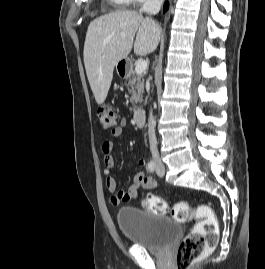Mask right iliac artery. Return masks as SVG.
<instances>
[{
  "mask_svg": "<svg viewBox=\"0 0 265 269\" xmlns=\"http://www.w3.org/2000/svg\"><path fill=\"white\" fill-rule=\"evenodd\" d=\"M147 169L150 171V172H153L155 170V162L154 161H150L148 164H147Z\"/></svg>",
  "mask_w": 265,
  "mask_h": 269,
  "instance_id": "82829eb1",
  "label": "right iliac artery"
}]
</instances>
